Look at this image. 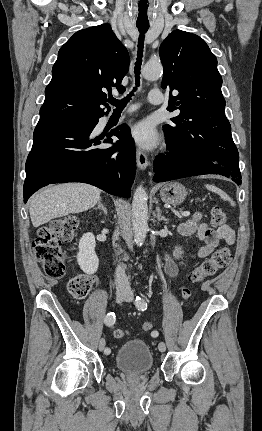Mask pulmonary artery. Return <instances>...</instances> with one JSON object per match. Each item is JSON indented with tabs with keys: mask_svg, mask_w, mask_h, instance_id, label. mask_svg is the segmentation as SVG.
<instances>
[{
	"mask_svg": "<svg viewBox=\"0 0 262 431\" xmlns=\"http://www.w3.org/2000/svg\"><path fill=\"white\" fill-rule=\"evenodd\" d=\"M148 100L151 104H155V105H159L162 104L164 101V95L161 92L160 89L158 88H153L150 92H149V96H148ZM138 107L136 106H132L130 107L125 114L131 113L133 111H135Z\"/></svg>",
	"mask_w": 262,
	"mask_h": 431,
	"instance_id": "obj_1",
	"label": "pulmonary artery"
}]
</instances>
